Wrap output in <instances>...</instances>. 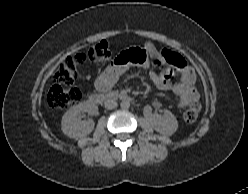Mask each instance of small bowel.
I'll return each mask as SVG.
<instances>
[{"label": "small bowel", "mask_w": 248, "mask_h": 194, "mask_svg": "<svg viewBox=\"0 0 248 194\" xmlns=\"http://www.w3.org/2000/svg\"><path fill=\"white\" fill-rule=\"evenodd\" d=\"M142 54L135 61H124V54L118 56L96 79L95 87L100 92H105L123 75L131 63L149 69V77L153 84L161 90H172L177 97L179 107L184 108L199 100V93L194 86L195 74L187 62L177 53L170 51L167 57L160 56L162 61L157 63L155 54L159 53L152 43L143 45ZM156 60V69H151V60ZM176 70L178 80L171 81V76ZM159 106L158 102L154 103Z\"/></svg>", "instance_id": "c3829d8e"}]
</instances>
